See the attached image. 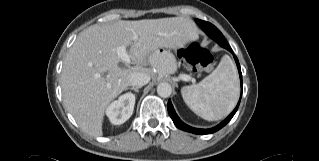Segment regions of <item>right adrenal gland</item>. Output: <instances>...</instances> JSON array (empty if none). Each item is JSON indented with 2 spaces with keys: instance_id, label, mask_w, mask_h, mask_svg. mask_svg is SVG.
Instances as JSON below:
<instances>
[{
  "instance_id": "1",
  "label": "right adrenal gland",
  "mask_w": 319,
  "mask_h": 161,
  "mask_svg": "<svg viewBox=\"0 0 319 161\" xmlns=\"http://www.w3.org/2000/svg\"><path fill=\"white\" fill-rule=\"evenodd\" d=\"M127 89H131V90H133V91H135L137 93L139 92V87H129Z\"/></svg>"
}]
</instances>
